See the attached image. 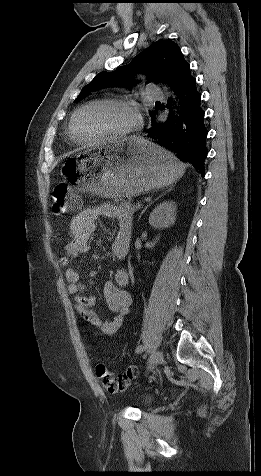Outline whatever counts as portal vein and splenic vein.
Instances as JSON below:
<instances>
[{"mask_svg":"<svg viewBox=\"0 0 261 476\" xmlns=\"http://www.w3.org/2000/svg\"><path fill=\"white\" fill-rule=\"evenodd\" d=\"M136 206H137L138 208L141 207V203L138 202V203L136 204Z\"/></svg>","mask_w":261,"mask_h":476,"instance_id":"18ae733b","label":"portal vein and splenic vein"}]
</instances>
